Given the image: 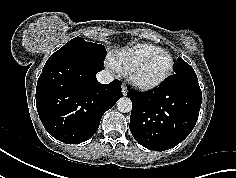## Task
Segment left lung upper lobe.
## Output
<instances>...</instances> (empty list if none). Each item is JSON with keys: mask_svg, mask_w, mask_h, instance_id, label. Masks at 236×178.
Masks as SVG:
<instances>
[{"mask_svg": "<svg viewBox=\"0 0 236 178\" xmlns=\"http://www.w3.org/2000/svg\"><path fill=\"white\" fill-rule=\"evenodd\" d=\"M175 74L180 75H194L195 72L193 68L186 63L181 57L178 58L174 67Z\"/></svg>", "mask_w": 236, "mask_h": 178, "instance_id": "1", "label": "left lung upper lobe"}]
</instances>
